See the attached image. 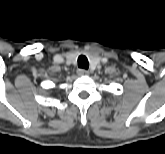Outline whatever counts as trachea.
I'll return each instance as SVG.
<instances>
[{
	"label": "trachea",
	"instance_id": "obj_1",
	"mask_svg": "<svg viewBox=\"0 0 165 154\" xmlns=\"http://www.w3.org/2000/svg\"><path fill=\"white\" fill-rule=\"evenodd\" d=\"M78 66L82 69H88L89 67V62L86 56L81 55L78 57Z\"/></svg>",
	"mask_w": 165,
	"mask_h": 154
}]
</instances>
